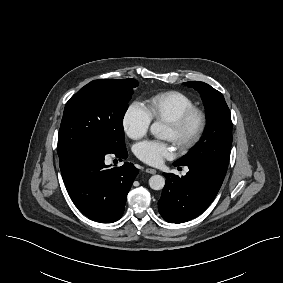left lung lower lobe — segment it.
Returning a JSON list of instances; mask_svg holds the SVG:
<instances>
[{"mask_svg":"<svg viewBox=\"0 0 283 283\" xmlns=\"http://www.w3.org/2000/svg\"><path fill=\"white\" fill-rule=\"evenodd\" d=\"M174 166H179L174 163ZM189 172L182 177L163 173L165 187L158 201L163 219L183 223L204 212L216 197L225 175L206 166L187 165Z\"/></svg>","mask_w":283,"mask_h":283,"instance_id":"1","label":"left lung lower lobe"}]
</instances>
